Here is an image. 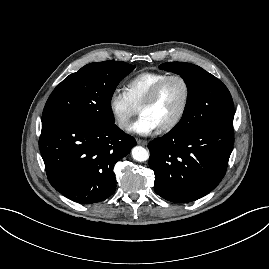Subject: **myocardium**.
Here are the masks:
<instances>
[{"mask_svg": "<svg viewBox=\"0 0 269 269\" xmlns=\"http://www.w3.org/2000/svg\"><path fill=\"white\" fill-rule=\"evenodd\" d=\"M179 80L182 82V84L184 85L185 88V99H184V103L183 106L180 110V112L178 113V115L168 124L162 126L159 128L160 132H169L173 129H175L184 119L188 108L190 106V102H191V85L189 83V81L182 75L180 74H172V75H168L167 77H165L164 79H162L161 81H159L152 89L151 91L148 93V95L146 96V98L142 101V103L140 104V106L138 107L139 112H141V110L145 107H148L150 105H152L155 100L157 99L158 95L160 94L161 90L163 89V87L171 80Z\"/></svg>", "mask_w": 269, "mask_h": 269, "instance_id": "myocardium-1", "label": "myocardium"}]
</instances>
